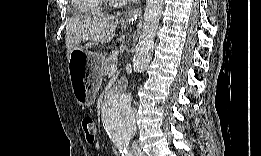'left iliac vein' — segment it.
Here are the masks:
<instances>
[{"mask_svg": "<svg viewBox=\"0 0 261 156\" xmlns=\"http://www.w3.org/2000/svg\"><path fill=\"white\" fill-rule=\"evenodd\" d=\"M132 152H133V155L144 156V152L142 151L141 147L137 143H134L132 145Z\"/></svg>", "mask_w": 261, "mask_h": 156, "instance_id": "4c4485c4", "label": "left iliac vein"}]
</instances>
